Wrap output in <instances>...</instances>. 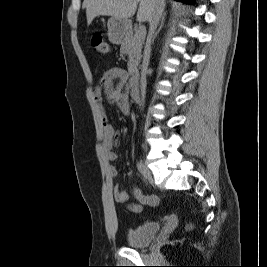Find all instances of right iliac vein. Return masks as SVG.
Instances as JSON below:
<instances>
[{"mask_svg": "<svg viewBox=\"0 0 267 267\" xmlns=\"http://www.w3.org/2000/svg\"><path fill=\"white\" fill-rule=\"evenodd\" d=\"M144 169H145V172H146V175L148 176V178L151 179L152 176H151L150 170L145 166H144Z\"/></svg>", "mask_w": 267, "mask_h": 267, "instance_id": "63e3f726", "label": "right iliac vein"}]
</instances>
